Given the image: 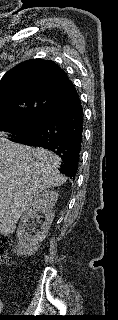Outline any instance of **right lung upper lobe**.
Masks as SVG:
<instances>
[{
	"label": "right lung upper lobe",
	"instance_id": "obj_1",
	"mask_svg": "<svg viewBox=\"0 0 118 320\" xmlns=\"http://www.w3.org/2000/svg\"><path fill=\"white\" fill-rule=\"evenodd\" d=\"M77 95L72 82L54 62L27 60L0 81V120H45L55 107Z\"/></svg>",
	"mask_w": 118,
	"mask_h": 320
}]
</instances>
